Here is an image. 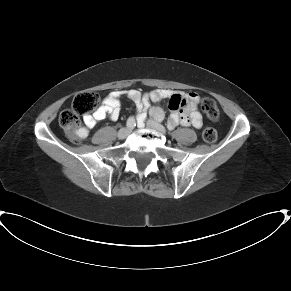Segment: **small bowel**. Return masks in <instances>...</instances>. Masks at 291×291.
Listing matches in <instances>:
<instances>
[{"label": "small bowel", "mask_w": 291, "mask_h": 291, "mask_svg": "<svg viewBox=\"0 0 291 291\" xmlns=\"http://www.w3.org/2000/svg\"><path fill=\"white\" fill-rule=\"evenodd\" d=\"M123 96H126L135 104L137 118L141 126L143 125L150 102H160L163 100H169V103L174 101L177 103V108L172 110L168 120V127L170 129L175 128L178 124L193 126L197 129L203 126L202 116L197 109L200 102V97L197 93L188 92L179 94L167 89H157L142 94L140 91L132 89L129 91L111 92L92 115L84 117V124L78 130L79 137L86 138L90 130L106 117L111 120H117Z\"/></svg>", "instance_id": "c3829d8e"}]
</instances>
